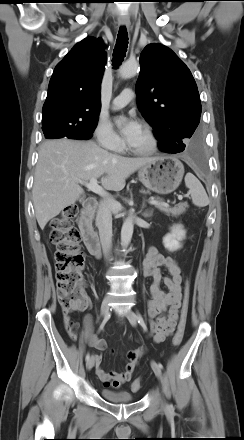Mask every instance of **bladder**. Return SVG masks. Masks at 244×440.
<instances>
[{
	"label": "bladder",
	"mask_w": 244,
	"mask_h": 440,
	"mask_svg": "<svg viewBox=\"0 0 244 440\" xmlns=\"http://www.w3.org/2000/svg\"><path fill=\"white\" fill-rule=\"evenodd\" d=\"M100 394L106 401L111 403L123 404L134 401V395L127 391H113L103 387Z\"/></svg>",
	"instance_id": "bladder-1"
}]
</instances>
